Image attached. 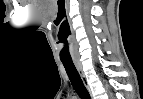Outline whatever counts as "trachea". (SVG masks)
<instances>
[{"label":"trachea","mask_w":143,"mask_h":99,"mask_svg":"<svg viewBox=\"0 0 143 99\" xmlns=\"http://www.w3.org/2000/svg\"><path fill=\"white\" fill-rule=\"evenodd\" d=\"M65 70L68 74V77L70 79V82L74 88V90L77 92L79 97L81 99H91L90 95L86 89V87L83 84V81L81 80L78 71L76 70L73 61L71 60H61Z\"/></svg>","instance_id":"trachea-1"}]
</instances>
